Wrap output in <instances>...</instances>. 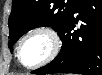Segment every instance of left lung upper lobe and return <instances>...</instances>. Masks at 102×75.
<instances>
[{"instance_id": "obj_1", "label": "left lung upper lobe", "mask_w": 102, "mask_h": 75, "mask_svg": "<svg viewBox=\"0 0 102 75\" xmlns=\"http://www.w3.org/2000/svg\"><path fill=\"white\" fill-rule=\"evenodd\" d=\"M80 0H12L9 17V43L13 44L27 31L36 27H52L59 31Z\"/></svg>"}]
</instances>
